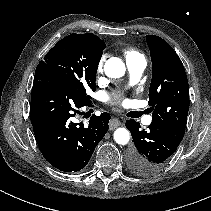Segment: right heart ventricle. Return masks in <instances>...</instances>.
<instances>
[{"label":"right heart ventricle","mask_w":211,"mask_h":211,"mask_svg":"<svg viewBox=\"0 0 211 211\" xmlns=\"http://www.w3.org/2000/svg\"><path fill=\"white\" fill-rule=\"evenodd\" d=\"M126 60L132 57L140 56L138 52L132 49H128L124 52Z\"/></svg>","instance_id":"1"}]
</instances>
